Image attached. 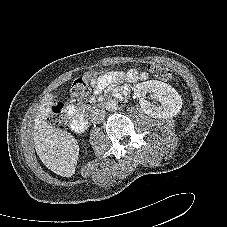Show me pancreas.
I'll return each mask as SVG.
<instances>
[{
    "label": "pancreas",
    "instance_id": "1",
    "mask_svg": "<svg viewBox=\"0 0 227 227\" xmlns=\"http://www.w3.org/2000/svg\"><path fill=\"white\" fill-rule=\"evenodd\" d=\"M81 110H91V106L89 105H82Z\"/></svg>",
    "mask_w": 227,
    "mask_h": 227
}]
</instances>
